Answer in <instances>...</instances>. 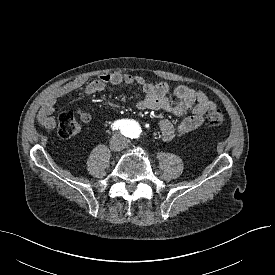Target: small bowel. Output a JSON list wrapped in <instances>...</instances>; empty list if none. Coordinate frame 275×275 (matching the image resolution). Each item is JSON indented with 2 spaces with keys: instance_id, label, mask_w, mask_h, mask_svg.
Instances as JSON below:
<instances>
[{
  "instance_id": "1",
  "label": "small bowel",
  "mask_w": 275,
  "mask_h": 275,
  "mask_svg": "<svg viewBox=\"0 0 275 275\" xmlns=\"http://www.w3.org/2000/svg\"><path fill=\"white\" fill-rule=\"evenodd\" d=\"M120 84L137 86L143 90L144 95L136 102L138 109H162L177 116H182L191 110V115L185 117L177 126L169 119H162L159 122V132L164 141H171L177 133L183 135L199 128L204 123L205 113L216 108L215 103L203 91H197L185 85H179L171 91L166 82L152 83L136 74L110 73L103 74L91 82H87L85 77H78L54 89L45 98L38 111L37 120L42 127L53 129L56 124L53 113L59 99L80 89L84 90L86 96H91L109 85ZM172 96L176 99L175 101ZM76 114L85 123L92 118L87 110L78 109Z\"/></svg>"
}]
</instances>
